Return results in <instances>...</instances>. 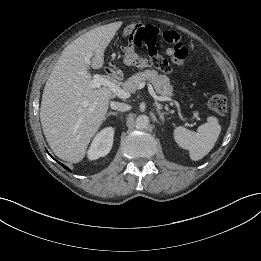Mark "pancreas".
Masks as SVG:
<instances>
[{"label": "pancreas", "instance_id": "pancreas-1", "mask_svg": "<svg viewBox=\"0 0 261 261\" xmlns=\"http://www.w3.org/2000/svg\"><path fill=\"white\" fill-rule=\"evenodd\" d=\"M149 81L155 88L156 93L162 97L172 96L173 88L166 76L159 75L156 70H145L130 77L124 84V90L135 93L142 81Z\"/></svg>", "mask_w": 261, "mask_h": 261}]
</instances>
